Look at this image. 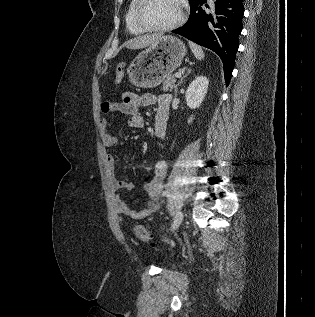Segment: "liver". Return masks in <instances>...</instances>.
<instances>
[{"label":"liver","mask_w":315,"mask_h":317,"mask_svg":"<svg viewBox=\"0 0 315 317\" xmlns=\"http://www.w3.org/2000/svg\"><path fill=\"white\" fill-rule=\"evenodd\" d=\"M161 34H153L146 36H138L127 42L126 47L128 49H141L154 44L159 38H161Z\"/></svg>","instance_id":"1"}]
</instances>
